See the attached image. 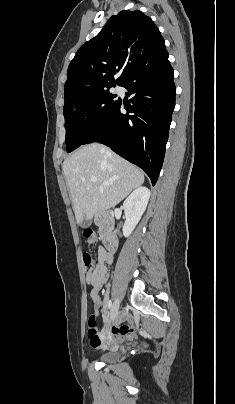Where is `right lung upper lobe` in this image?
<instances>
[{"instance_id": "obj_1", "label": "right lung upper lobe", "mask_w": 235, "mask_h": 404, "mask_svg": "<svg viewBox=\"0 0 235 404\" xmlns=\"http://www.w3.org/2000/svg\"><path fill=\"white\" fill-rule=\"evenodd\" d=\"M167 56L164 39L152 19L139 10H123L77 51L68 68L65 103L121 85L135 72Z\"/></svg>"}]
</instances>
